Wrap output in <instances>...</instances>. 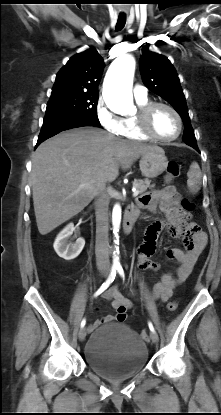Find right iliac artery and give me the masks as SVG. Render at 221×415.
<instances>
[{"label":"right iliac artery","mask_w":221,"mask_h":415,"mask_svg":"<svg viewBox=\"0 0 221 415\" xmlns=\"http://www.w3.org/2000/svg\"><path fill=\"white\" fill-rule=\"evenodd\" d=\"M116 267H113L111 269L110 275L108 277V279L100 286V288L95 292L94 297H97L98 295H100L103 291H105L109 285L114 281L115 276H116ZM86 324V320L83 319L81 322V328H83Z\"/></svg>","instance_id":"82829eb1"}]
</instances>
